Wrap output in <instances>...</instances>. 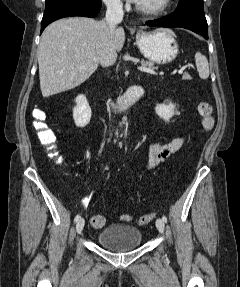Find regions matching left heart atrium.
Returning <instances> with one entry per match:
<instances>
[{"label": "left heart atrium", "instance_id": "left-heart-atrium-1", "mask_svg": "<svg viewBox=\"0 0 240 287\" xmlns=\"http://www.w3.org/2000/svg\"><path fill=\"white\" fill-rule=\"evenodd\" d=\"M132 1L138 2V0H132Z\"/></svg>", "mask_w": 240, "mask_h": 287}]
</instances>
